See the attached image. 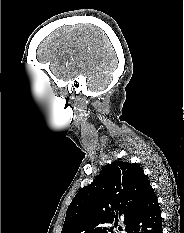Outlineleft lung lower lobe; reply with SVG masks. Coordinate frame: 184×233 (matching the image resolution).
<instances>
[{"mask_svg":"<svg viewBox=\"0 0 184 233\" xmlns=\"http://www.w3.org/2000/svg\"><path fill=\"white\" fill-rule=\"evenodd\" d=\"M162 217L154 190H151L131 221L128 233H162Z\"/></svg>","mask_w":184,"mask_h":233,"instance_id":"1","label":"left lung lower lobe"}]
</instances>
